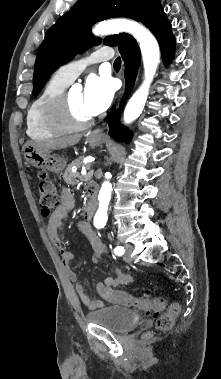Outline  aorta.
<instances>
[{
  "instance_id": "762f6f07",
  "label": "aorta",
  "mask_w": 221,
  "mask_h": 379,
  "mask_svg": "<svg viewBox=\"0 0 221 379\" xmlns=\"http://www.w3.org/2000/svg\"><path fill=\"white\" fill-rule=\"evenodd\" d=\"M119 32H127L133 35L139 43L145 78L139 89L132 95L124 110V122L130 123L137 119L143 111L149 87L153 81L156 69L160 60V50L157 40L153 34L141 24L128 19H114L99 23L93 29L97 36L108 35ZM112 185L109 180H105L99 191V207L94 217V224L102 227L106 224L108 215V205L111 199Z\"/></svg>"
}]
</instances>
